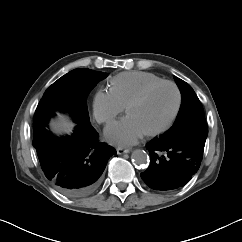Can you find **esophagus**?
I'll return each instance as SVG.
<instances>
[{"mask_svg":"<svg viewBox=\"0 0 242 242\" xmlns=\"http://www.w3.org/2000/svg\"><path fill=\"white\" fill-rule=\"evenodd\" d=\"M131 150L128 149V148H124V147H118L116 149V152L117 154L121 155V154H124V153H129Z\"/></svg>","mask_w":242,"mask_h":242,"instance_id":"34e87169","label":"esophagus"}]
</instances>
